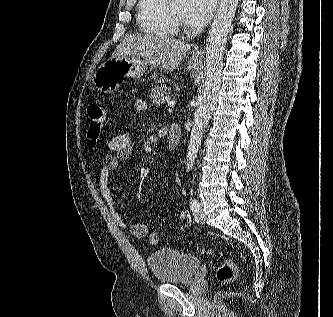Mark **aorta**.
<instances>
[{
    "instance_id": "obj_1",
    "label": "aorta",
    "mask_w": 333,
    "mask_h": 317,
    "mask_svg": "<svg viewBox=\"0 0 333 317\" xmlns=\"http://www.w3.org/2000/svg\"><path fill=\"white\" fill-rule=\"evenodd\" d=\"M238 6V0H220V5L209 30L206 45L205 82L202 100L195 112L187 155L186 170H192L202 134L215 110L222 80L223 53L227 34Z\"/></svg>"
}]
</instances>
